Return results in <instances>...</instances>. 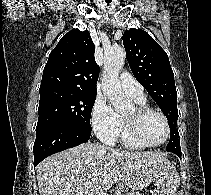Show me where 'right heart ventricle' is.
I'll return each mask as SVG.
<instances>
[{
  "mask_svg": "<svg viewBox=\"0 0 211 195\" xmlns=\"http://www.w3.org/2000/svg\"><path fill=\"white\" fill-rule=\"evenodd\" d=\"M135 102L138 105H145L146 104V99L135 100ZM121 119H122V121H121V129H120V133H119V136H118L120 142L123 144V146H125L127 148H142L143 146H141L140 144H138L137 142H135L129 136V134L127 132V129H126L124 118L121 117Z\"/></svg>",
  "mask_w": 211,
  "mask_h": 195,
  "instance_id": "right-heart-ventricle-1",
  "label": "right heart ventricle"
}]
</instances>
